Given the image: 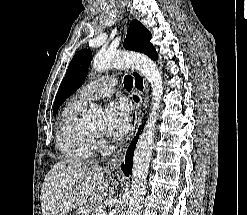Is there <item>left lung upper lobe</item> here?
Segmentation results:
<instances>
[{
    "label": "left lung upper lobe",
    "mask_w": 247,
    "mask_h": 215,
    "mask_svg": "<svg viewBox=\"0 0 247 215\" xmlns=\"http://www.w3.org/2000/svg\"><path fill=\"white\" fill-rule=\"evenodd\" d=\"M151 38V33L138 20H133L129 25L123 46L128 50L142 52L150 57L155 52L150 43ZM91 59L92 53L89 49L81 50L73 57L55 98L53 115H56L66 98L83 84Z\"/></svg>",
    "instance_id": "5c2ea615"
}]
</instances>
